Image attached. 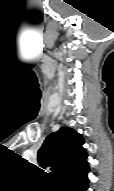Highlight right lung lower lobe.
Instances as JSON below:
<instances>
[{"mask_svg":"<svg viewBox=\"0 0 114 191\" xmlns=\"http://www.w3.org/2000/svg\"><path fill=\"white\" fill-rule=\"evenodd\" d=\"M89 172V168L87 170L81 171L79 173L73 174L69 177H66L59 183L60 191H87L89 180L87 174Z\"/></svg>","mask_w":114,"mask_h":191,"instance_id":"obj_1","label":"right lung lower lobe"}]
</instances>
